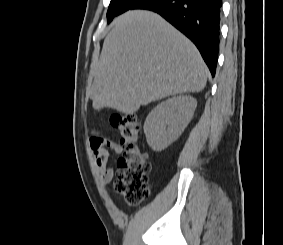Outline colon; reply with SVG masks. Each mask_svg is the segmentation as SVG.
<instances>
[{
    "instance_id": "colon-1",
    "label": "colon",
    "mask_w": 283,
    "mask_h": 245,
    "mask_svg": "<svg viewBox=\"0 0 283 245\" xmlns=\"http://www.w3.org/2000/svg\"><path fill=\"white\" fill-rule=\"evenodd\" d=\"M110 123L117 130L122 147L114 189L129 205L136 206L149 196L151 169L147 154L139 146L140 124L134 114H114Z\"/></svg>"
}]
</instances>
